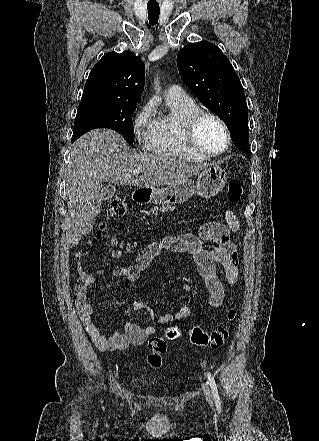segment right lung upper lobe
<instances>
[{"mask_svg":"<svg viewBox=\"0 0 319 441\" xmlns=\"http://www.w3.org/2000/svg\"><path fill=\"white\" fill-rule=\"evenodd\" d=\"M145 66L129 51L105 54L91 70L81 100L137 104L144 89Z\"/></svg>","mask_w":319,"mask_h":441,"instance_id":"obj_1","label":"right lung upper lobe"}]
</instances>
